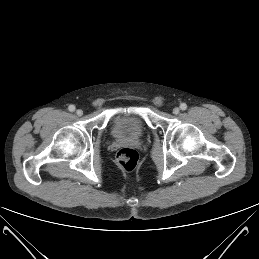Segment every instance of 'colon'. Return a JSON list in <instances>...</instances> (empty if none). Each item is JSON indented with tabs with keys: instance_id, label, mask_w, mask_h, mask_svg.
I'll list each match as a JSON object with an SVG mask.
<instances>
[{
	"instance_id": "5ec220e1",
	"label": "colon",
	"mask_w": 259,
	"mask_h": 259,
	"mask_svg": "<svg viewBox=\"0 0 259 259\" xmlns=\"http://www.w3.org/2000/svg\"><path fill=\"white\" fill-rule=\"evenodd\" d=\"M138 153L131 148H122L117 153V163L125 171H132L138 162Z\"/></svg>"
}]
</instances>
